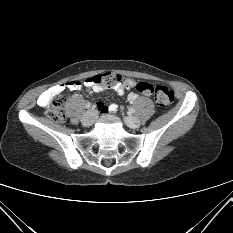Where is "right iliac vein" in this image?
<instances>
[{"label":"right iliac vein","instance_id":"1","mask_svg":"<svg viewBox=\"0 0 233 233\" xmlns=\"http://www.w3.org/2000/svg\"><path fill=\"white\" fill-rule=\"evenodd\" d=\"M96 116V111L89 110L83 115L81 122L84 126H91L94 123Z\"/></svg>","mask_w":233,"mask_h":233}]
</instances>
